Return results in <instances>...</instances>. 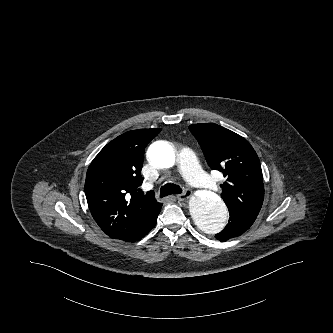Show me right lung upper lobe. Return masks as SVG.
I'll return each instance as SVG.
<instances>
[{
	"mask_svg": "<svg viewBox=\"0 0 333 333\" xmlns=\"http://www.w3.org/2000/svg\"><path fill=\"white\" fill-rule=\"evenodd\" d=\"M161 129L128 131L108 143L91 162L85 194L91 214L110 237L124 240L160 205L153 193L140 195L143 154Z\"/></svg>",
	"mask_w": 333,
	"mask_h": 333,
	"instance_id": "1",
	"label": "right lung upper lobe"
}]
</instances>
